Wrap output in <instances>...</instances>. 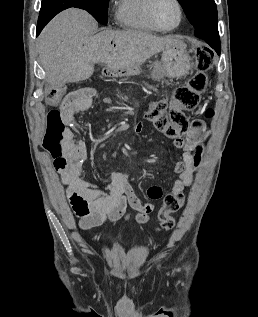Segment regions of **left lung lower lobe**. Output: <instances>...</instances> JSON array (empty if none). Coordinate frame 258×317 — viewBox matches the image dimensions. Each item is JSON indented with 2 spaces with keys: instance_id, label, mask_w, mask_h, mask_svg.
I'll use <instances>...</instances> for the list:
<instances>
[{
  "instance_id": "obj_1",
  "label": "left lung lower lobe",
  "mask_w": 258,
  "mask_h": 317,
  "mask_svg": "<svg viewBox=\"0 0 258 317\" xmlns=\"http://www.w3.org/2000/svg\"><path fill=\"white\" fill-rule=\"evenodd\" d=\"M195 36L207 42L220 55L221 43L218 29L214 27L195 28Z\"/></svg>"
}]
</instances>
